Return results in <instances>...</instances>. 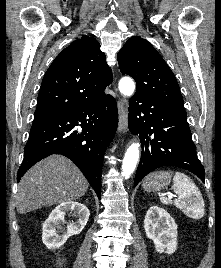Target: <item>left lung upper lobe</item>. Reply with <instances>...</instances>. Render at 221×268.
Returning <instances> with one entry per match:
<instances>
[{
    "mask_svg": "<svg viewBox=\"0 0 221 268\" xmlns=\"http://www.w3.org/2000/svg\"><path fill=\"white\" fill-rule=\"evenodd\" d=\"M119 68L135 79V95L183 104L178 82L154 47L141 37H131L119 51Z\"/></svg>",
    "mask_w": 221,
    "mask_h": 268,
    "instance_id": "5c2ea615",
    "label": "left lung upper lobe"
}]
</instances>
